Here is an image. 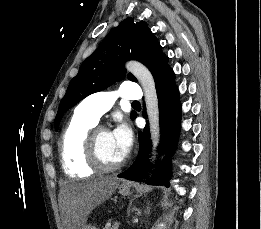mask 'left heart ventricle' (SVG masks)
<instances>
[{"label":"left heart ventricle","instance_id":"b2bd125f","mask_svg":"<svg viewBox=\"0 0 261 229\" xmlns=\"http://www.w3.org/2000/svg\"><path fill=\"white\" fill-rule=\"evenodd\" d=\"M100 153L108 163H116L123 158L117 151L111 132H102L99 139Z\"/></svg>","mask_w":261,"mask_h":229}]
</instances>
